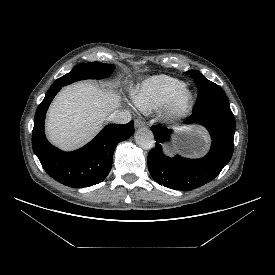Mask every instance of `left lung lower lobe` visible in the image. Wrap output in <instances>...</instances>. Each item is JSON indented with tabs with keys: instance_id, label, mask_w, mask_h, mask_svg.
<instances>
[{
	"instance_id": "left-lung-lower-lobe-1",
	"label": "left lung lower lobe",
	"mask_w": 275,
	"mask_h": 275,
	"mask_svg": "<svg viewBox=\"0 0 275 275\" xmlns=\"http://www.w3.org/2000/svg\"><path fill=\"white\" fill-rule=\"evenodd\" d=\"M205 126L212 138L210 152L202 159H187L164 155L161 143L168 139L171 130L151 127L156 144L148 154L147 163L153 179L165 187L186 191L213 180L230 161L233 154L235 119L230 109H201L196 105L186 121Z\"/></svg>"
}]
</instances>
